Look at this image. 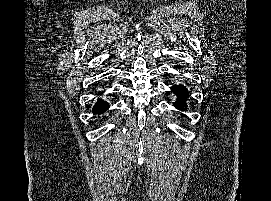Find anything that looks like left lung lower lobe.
Here are the masks:
<instances>
[{"instance_id":"1","label":"left lung lower lobe","mask_w":271,"mask_h":201,"mask_svg":"<svg viewBox=\"0 0 271 201\" xmlns=\"http://www.w3.org/2000/svg\"><path fill=\"white\" fill-rule=\"evenodd\" d=\"M171 90L178 96V101L174 104L177 109L184 110L186 108V99L188 97L187 89L182 85H174Z\"/></svg>"}]
</instances>
